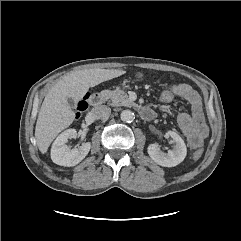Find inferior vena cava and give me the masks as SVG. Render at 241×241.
<instances>
[{
	"instance_id": "602c4592",
	"label": "inferior vena cava",
	"mask_w": 241,
	"mask_h": 241,
	"mask_svg": "<svg viewBox=\"0 0 241 241\" xmlns=\"http://www.w3.org/2000/svg\"><path fill=\"white\" fill-rule=\"evenodd\" d=\"M92 114L97 119H107L111 114V109L106 105H101L92 110Z\"/></svg>"
}]
</instances>
